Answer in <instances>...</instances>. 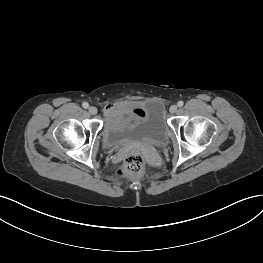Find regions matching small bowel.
<instances>
[{
	"label": "small bowel",
	"instance_id": "small-bowel-1",
	"mask_svg": "<svg viewBox=\"0 0 263 263\" xmlns=\"http://www.w3.org/2000/svg\"><path fill=\"white\" fill-rule=\"evenodd\" d=\"M116 107V105H109L107 108H106V112L107 113H109V112H111V110H113V108H115Z\"/></svg>",
	"mask_w": 263,
	"mask_h": 263
}]
</instances>
